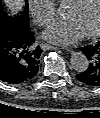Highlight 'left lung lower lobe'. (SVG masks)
Listing matches in <instances>:
<instances>
[{"instance_id":"obj_1","label":"left lung lower lobe","mask_w":100,"mask_h":118,"mask_svg":"<svg viewBox=\"0 0 100 118\" xmlns=\"http://www.w3.org/2000/svg\"><path fill=\"white\" fill-rule=\"evenodd\" d=\"M89 60L86 71L76 75L77 80L82 84L96 87L100 86V40L79 48Z\"/></svg>"}]
</instances>
